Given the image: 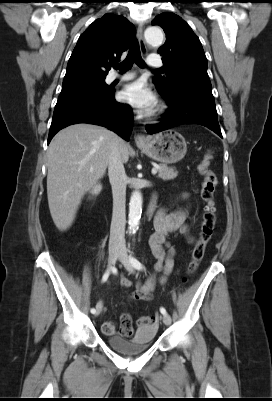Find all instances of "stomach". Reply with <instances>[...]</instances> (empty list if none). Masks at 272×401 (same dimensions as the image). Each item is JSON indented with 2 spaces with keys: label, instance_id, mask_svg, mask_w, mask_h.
<instances>
[{
  "label": "stomach",
  "instance_id": "obj_1",
  "mask_svg": "<svg viewBox=\"0 0 272 401\" xmlns=\"http://www.w3.org/2000/svg\"><path fill=\"white\" fill-rule=\"evenodd\" d=\"M138 147L155 161L170 164L183 159L187 152L185 138L175 130H168L149 137Z\"/></svg>",
  "mask_w": 272,
  "mask_h": 401
}]
</instances>
